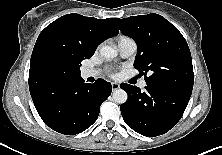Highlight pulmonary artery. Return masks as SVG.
Listing matches in <instances>:
<instances>
[{
    "instance_id": "obj_1",
    "label": "pulmonary artery",
    "mask_w": 222,
    "mask_h": 155,
    "mask_svg": "<svg viewBox=\"0 0 222 155\" xmlns=\"http://www.w3.org/2000/svg\"><path fill=\"white\" fill-rule=\"evenodd\" d=\"M118 50L119 53L122 57L127 58L132 56L136 50H137V45L134 40L130 38H121L118 42ZM96 75V71L91 70V69H84L82 71V77L83 78H88ZM139 86L141 88L146 87V82L143 80L140 82Z\"/></svg>"
}]
</instances>
